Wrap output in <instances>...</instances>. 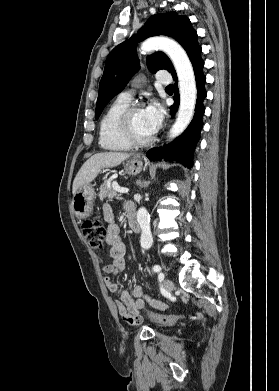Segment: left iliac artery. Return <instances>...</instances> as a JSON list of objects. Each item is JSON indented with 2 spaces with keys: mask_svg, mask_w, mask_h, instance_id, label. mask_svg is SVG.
<instances>
[{
  "mask_svg": "<svg viewBox=\"0 0 279 391\" xmlns=\"http://www.w3.org/2000/svg\"><path fill=\"white\" fill-rule=\"evenodd\" d=\"M153 271H154V272H159V279H160V280H163V279H164V274L160 272V271H161V267H160L159 265H155V266L153 267Z\"/></svg>",
  "mask_w": 279,
  "mask_h": 391,
  "instance_id": "obj_1",
  "label": "left iliac artery"
}]
</instances>
